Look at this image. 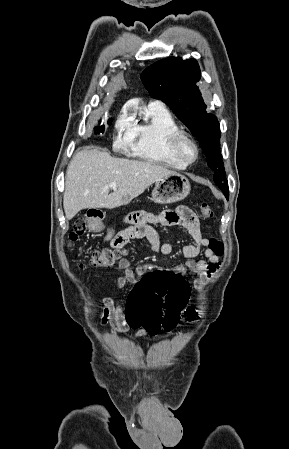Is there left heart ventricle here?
I'll return each mask as SVG.
<instances>
[{
    "mask_svg": "<svg viewBox=\"0 0 289 449\" xmlns=\"http://www.w3.org/2000/svg\"><path fill=\"white\" fill-rule=\"evenodd\" d=\"M185 152L188 156L192 155V149L189 146H185Z\"/></svg>",
    "mask_w": 289,
    "mask_h": 449,
    "instance_id": "b2bd125f",
    "label": "left heart ventricle"
}]
</instances>
